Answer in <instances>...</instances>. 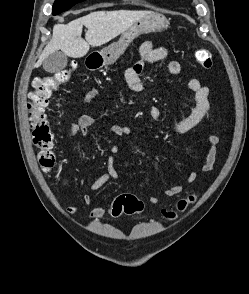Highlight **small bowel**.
Segmentation results:
<instances>
[{
	"label": "small bowel",
	"mask_w": 249,
	"mask_h": 294,
	"mask_svg": "<svg viewBox=\"0 0 249 294\" xmlns=\"http://www.w3.org/2000/svg\"><path fill=\"white\" fill-rule=\"evenodd\" d=\"M138 53L139 60L130 66L126 71L127 84L133 91H139L143 88L141 75L145 67L149 64L165 59L168 56L169 51L166 47L156 46L154 43L147 41L140 46ZM168 70L172 76H178L182 71L181 63L177 60L171 61L168 65ZM188 88L193 95L195 108L188 117L172 124L171 130L176 134H184L191 131L206 117L210 122L214 120L212 115V108L208 99L210 94L209 88L203 86L199 80L194 78L189 80ZM97 94L98 90L96 88L90 89L84 95V102H90ZM148 115L151 119L157 120L162 117V110L158 106H151L148 110ZM93 124L94 118L92 116L81 115L76 122L70 125L68 134L74 135L77 132H80L82 136L87 137L91 134V128ZM110 132L112 135L118 138L129 137L132 134L129 128L119 124L112 125L110 127ZM219 144V137L213 134L209 136L206 157L201 167L202 172L207 173L214 169ZM120 150L121 147L119 144H113L111 146V155L108 158L107 171L91 183L89 187L91 191H98L102 189L110 180L119 178V174L114 168L113 162L114 155L119 153ZM169 152H171V150H169ZM198 176V171L192 170L183 183L171 186L165 189L162 193L158 192L151 195L149 198L150 203H158L161 194H164L167 197H174L179 195L183 192L187 185L194 183ZM91 203L92 196L90 194H85L82 198L81 204L71 205L67 207L66 211L69 215H74L84 211L85 208ZM106 212L107 208L104 205H97L90 210L89 215L90 218L97 220L102 218Z\"/></svg>",
	"instance_id": "obj_1"
}]
</instances>
